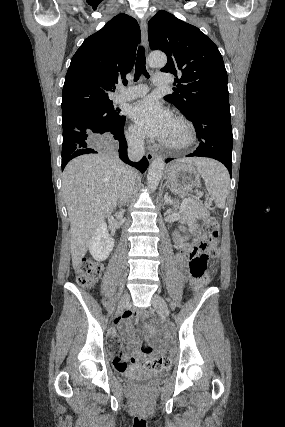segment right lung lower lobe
<instances>
[{"label":"right lung lower lobe","mask_w":285,"mask_h":427,"mask_svg":"<svg viewBox=\"0 0 285 427\" xmlns=\"http://www.w3.org/2000/svg\"><path fill=\"white\" fill-rule=\"evenodd\" d=\"M125 119L119 129L113 134V138L117 140L119 157L125 163L136 167L141 172H144L148 166L146 157H143L139 162H132L127 156V142L124 136ZM98 135L92 134L87 128L79 127L72 129L69 133V138L74 140L73 143H63L62 146V170L66 164L73 158L88 154L98 153L102 147V142L98 139Z\"/></svg>","instance_id":"right-lung-lower-lobe-1"}]
</instances>
